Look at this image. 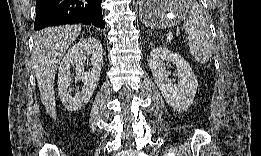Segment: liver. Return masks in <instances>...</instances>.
<instances>
[{"mask_svg": "<svg viewBox=\"0 0 261 156\" xmlns=\"http://www.w3.org/2000/svg\"><path fill=\"white\" fill-rule=\"evenodd\" d=\"M81 26L63 25L43 30L36 37L33 63L42 104L46 112L56 119L54 79L64 53L79 36Z\"/></svg>", "mask_w": 261, "mask_h": 156, "instance_id": "liver-1", "label": "liver"}]
</instances>
